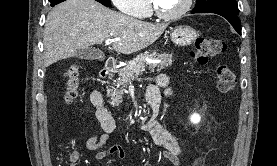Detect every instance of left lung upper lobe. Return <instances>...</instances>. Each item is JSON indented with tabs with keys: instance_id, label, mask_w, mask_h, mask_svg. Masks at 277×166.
Instances as JSON below:
<instances>
[{
	"instance_id": "5c2ea615",
	"label": "left lung upper lobe",
	"mask_w": 277,
	"mask_h": 166,
	"mask_svg": "<svg viewBox=\"0 0 277 166\" xmlns=\"http://www.w3.org/2000/svg\"><path fill=\"white\" fill-rule=\"evenodd\" d=\"M226 12L239 14L236 0H196L192 13Z\"/></svg>"
}]
</instances>
